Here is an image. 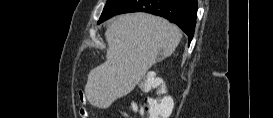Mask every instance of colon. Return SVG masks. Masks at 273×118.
I'll list each match as a JSON object with an SVG mask.
<instances>
[{
    "mask_svg": "<svg viewBox=\"0 0 273 118\" xmlns=\"http://www.w3.org/2000/svg\"><path fill=\"white\" fill-rule=\"evenodd\" d=\"M153 86L151 79H146L144 87L149 88ZM173 108V100L169 96H164L160 99L147 98L142 105L136 106V109L141 113H147L149 118H164L168 117Z\"/></svg>",
    "mask_w": 273,
    "mask_h": 118,
    "instance_id": "1",
    "label": "colon"
}]
</instances>
